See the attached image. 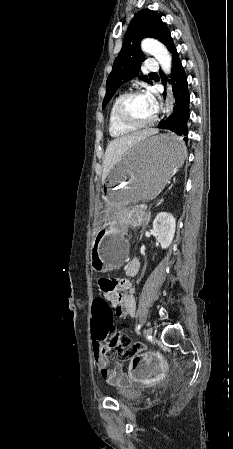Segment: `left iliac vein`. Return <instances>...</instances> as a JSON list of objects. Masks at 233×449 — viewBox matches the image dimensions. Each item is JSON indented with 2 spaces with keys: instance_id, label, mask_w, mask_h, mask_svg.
Wrapping results in <instances>:
<instances>
[{
  "instance_id": "4c4485c4",
  "label": "left iliac vein",
  "mask_w": 233,
  "mask_h": 449,
  "mask_svg": "<svg viewBox=\"0 0 233 449\" xmlns=\"http://www.w3.org/2000/svg\"><path fill=\"white\" fill-rule=\"evenodd\" d=\"M152 333H153V329H152L151 327H149V328H147L146 331H145V336H146V337H149V336L152 335Z\"/></svg>"
}]
</instances>
